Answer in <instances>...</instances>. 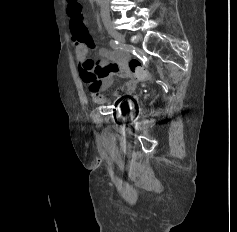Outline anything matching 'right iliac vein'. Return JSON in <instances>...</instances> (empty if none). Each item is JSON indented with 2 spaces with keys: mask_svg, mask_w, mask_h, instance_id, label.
Returning a JSON list of instances; mask_svg holds the SVG:
<instances>
[{
  "mask_svg": "<svg viewBox=\"0 0 237 232\" xmlns=\"http://www.w3.org/2000/svg\"><path fill=\"white\" fill-rule=\"evenodd\" d=\"M108 33L121 44H125L124 36L112 26L106 27Z\"/></svg>",
  "mask_w": 237,
  "mask_h": 232,
  "instance_id": "right-iliac-vein-1",
  "label": "right iliac vein"
}]
</instances>
